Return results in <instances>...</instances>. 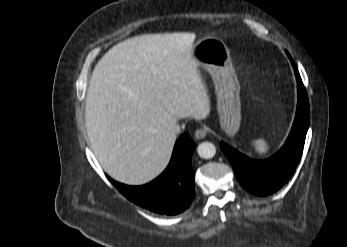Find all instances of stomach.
Listing matches in <instances>:
<instances>
[{
	"instance_id": "obj_1",
	"label": "stomach",
	"mask_w": 347,
	"mask_h": 247,
	"mask_svg": "<svg viewBox=\"0 0 347 247\" xmlns=\"http://www.w3.org/2000/svg\"><path fill=\"white\" fill-rule=\"evenodd\" d=\"M192 58L209 72L215 86L221 129L233 137L241 124L240 85L223 41L208 37L192 47Z\"/></svg>"
}]
</instances>
